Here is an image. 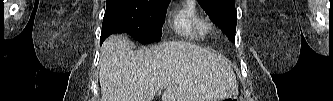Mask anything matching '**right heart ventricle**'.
Returning <instances> with one entry per match:
<instances>
[{"instance_id":"right-heart-ventricle-1","label":"right heart ventricle","mask_w":333,"mask_h":101,"mask_svg":"<svg viewBox=\"0 0 333 101\" xmlns=\"http://www.w3.org/2000/svg\"><path fill=\"white\" fill-rule=\"evenodd\" d=\"M172 28L184 38L202 40L210 32V23L196 7L195 1L189 0L174 14Z\"/></svg>"}]
</instances>
